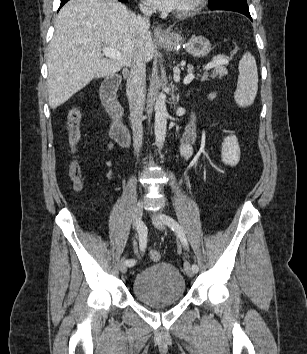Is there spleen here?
Wrapping results in <instances>:
<instances>
[{
    "label": "spleen",
    "mask_w": 307,
    "mask_h": 354,
    "mask_svg": "<svg viewBox=\"0 0 307 354\" xmlns=\"http://www.w3.org/2000/svg\"><path fill=\"white\" fill-rule=\"evenodd\" d=\"M239 76L234 93L235 102L240 107H247L254 102L258 91V73L255 58L245 53L239 61Z\"/></svg>",
    "instance_id": "spleen-1"
}]
</instances>
